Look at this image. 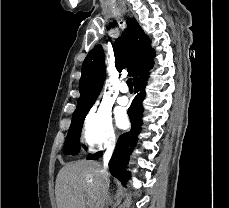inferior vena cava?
Here are the masks:
<instances>
[{"label":"inferior vena cava","instance_id":"obj_1","mask_svg":"<svg viewBox=\"0 0 229 208\" xmlns=\"http://www.w3.org/2000/svg\"><path fill=\"white\" fill-rule=\"evenodd\" d=\"M112 156V150H107V152H105L104 156H103V162H104V168L101 172L103 178H105V182L104 184H102L101 186V202H100V208H104L105 206V198L107 196V190H108V186H109V180H108V172H107V168H108V162L110 160Z\"/></svg>","mask_w":229,"mask_h":208}]
</instances>
